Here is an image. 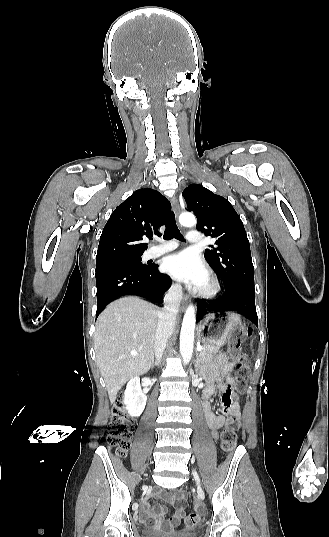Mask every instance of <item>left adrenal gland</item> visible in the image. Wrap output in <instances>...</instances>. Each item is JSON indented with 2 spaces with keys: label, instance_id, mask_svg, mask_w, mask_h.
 <instances>
[{
  "label": "left adrenal gland",
  "instance_id": "left-adrenal-gland-1",
  "mask_svg": "<svg viewBox=\"0 0 329 537\" xmlns=\"http://www.w3.org/2000/svg\"><path fill=\"white\" fill-rule=\"evenodd\" d=\"M200 364V359L198 357V354H196V361H195V371L198 373V366Z\"/></svg>",
  "mask_w": 329,
  "mask_h": 537
}]
</instances>
